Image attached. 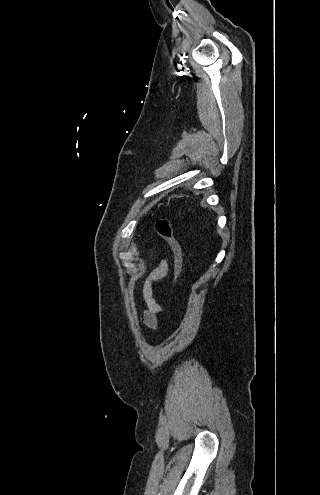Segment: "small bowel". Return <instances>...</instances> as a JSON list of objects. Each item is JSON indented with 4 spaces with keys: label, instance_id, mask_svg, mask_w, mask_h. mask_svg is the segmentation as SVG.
I'll use <instances>...</instances> for the list:
<instances>
[{
    "label": "small bowel",
    "instance_id": "1",
    "mask_svg": "<svg viewBox=\"0 0 320 495\" xmlns=\"http://www.w3.org/2000/svg\"><path fill=\"white\" fill-rule=\"evenodd\" d=\"M168 263L162 260L160 264L150 273L142 286V298L146 305V311L142 318L150 328L156 327V315L162 311L161 305L157 302L153 292V284L166 276Z\"/></svg>",
    "mask_w": 320,
    "mask_h": 495
}]
</instances>
